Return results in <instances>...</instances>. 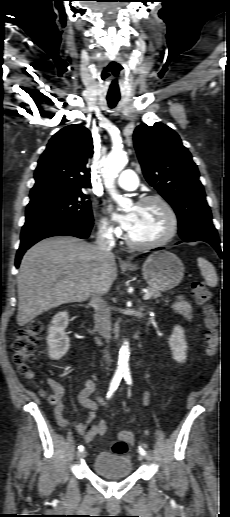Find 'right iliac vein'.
Returning a JSON list of instances; mask_svg holds the SVG:
<instances>
[{
  "mask_svg": "<svg viewBox=\"0 0 230 517\" xmlns=\"http://www.w3.org/2000/svg\"><path fill=\"white\" fill-rule=\"evenodd\" d=\"M86 455H87V451L86 450H83L80 453H78V457H80V458H85Z\"/></svg>",
  "mask_w": 230,
  "mask_h": 517,
  "instance_id": "1",
  "label": "right iliac vein"
}]
</instances>
